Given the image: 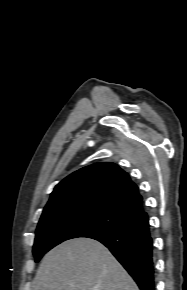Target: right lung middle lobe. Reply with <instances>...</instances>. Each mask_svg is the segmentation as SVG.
<instances>
[{
    "label": "right lung middle lobe",
    "instance_id": "1",
    "mask_svg": "<svg viewBox=\"0 0 187 290\" xmlns=\"http://www.w3.org/2000/svg\"><path fill=\"white\" fill-rule=\"evenodd\" d=\"M129 223L115 211L100 206L74 207L41 216L33 247L35 261L65 240L89 237Z\"/></svg>",
    "mask_w": 187,
    "mask_h": 290
}]
</instances>
